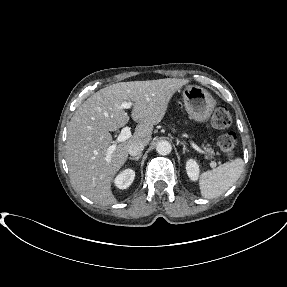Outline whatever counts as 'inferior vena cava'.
I'll use <instances>...</instances> for the list:
<instances>
[{
	"mask_svg": "<svg viewBox=\"0 0 287 287\" xmlns=\"http://www.w3.org/2000/svg\"><path fill=\"white\" fill-rule=\"evenodd\" d=\"M144 146L145 145L141 142H134L129 146L128 154L131 156H139V155H141V153L144 149Z\"/></svg>",
	"mask_w": 287,
	"mask_h": 287,
	"instance_id": "602c4592",
	"label": "inferior vena cava"
}]
</instances>
